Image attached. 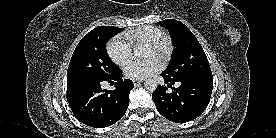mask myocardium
<instances>
[{"label": "myocardium", "instance_id": "f54148a6", "mask_svg": "<svg viewBox=\"0 0 276 138\" xmlns=\"http://www.w3.org/2000/svg\"><path fill=\"white\" fill-rule=\"evenodd\" d=\"M149 47L154 48L159 53V58L166 62L170 59L173 52V43L170 36L162 34L154 40L147 43Z\"/></svg>", "mask_w": 276, "mask_h": 138}]
</instances>
